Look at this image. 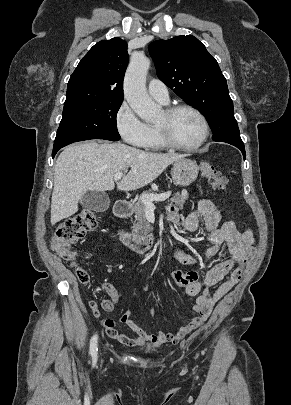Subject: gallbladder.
Segmentation results:
<instances>
[{"label":"gallbladder","instance_id":"bac80fb5","mask_svg":"<svg viewBox=\"0 0 291 405\" xmlns=\"http://www.w3.org/2000/svg\"><path fill=\"white\" fill-rule=\"evenodd\" d=\"M80 204L88 210L104 212L110 206V199L104 192L88 191L81 198Z\"/></svg>","mask_w":291,"mask_h":405}]
</instances>
